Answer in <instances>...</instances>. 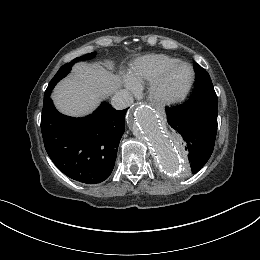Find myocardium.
<instances>
[{
	"label": "myocardium",
	"instance_id": "obj_1",
	"mask_svg": "<svg viewBox=\"0 0 260 260\" xmlns=\"http://www.w3.org/2000/svg\"><path fill=\"white\" fill-rule=\"evenodd\" d=\"M180 66H187L191 70V80H190L188 86L181 93L174 95V96H166V95L162 94L161 88H162L165 80L176 68H178ZM195 79H196L195 70L190 63L185 62V61L176 62V63L168 66L167 68H165L163 71H161L151 81L149 90H148L149 98L153 102H155L157 104H161V105H171V104H176L178 102H181L182 100H184L187 97V95L192 90L194 83H195Z\"/></svg>",
	"mask_w": 260,
	"mask_h": 260
}]
</instances>
